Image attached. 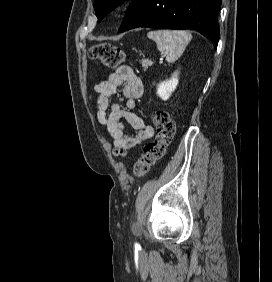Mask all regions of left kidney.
Masks as SVG:
<instances>
[{"label": "left kidney", "instance_id": "1", "mask_svg": "<svg viewBox=\"0 0 272 282\" xmlns=\"http://www.w3.org/2000/svg\"><path fill=\"white\" fill-rule=\"evenodd\" d=\"M178 85V72H175L169 80L161 82L157 87V95L162 100H167L171 96L172 92Z\"/></svg>", "mask_w": 272, "mask_h": 282}]
</instances>
